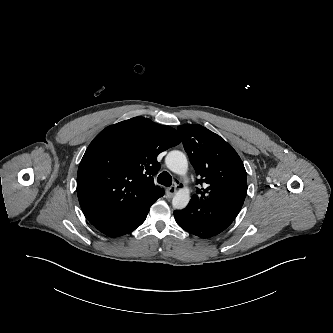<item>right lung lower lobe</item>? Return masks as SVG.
I'll use <instances>...</instances> for the list:
<instances>
[{"instance_id": "1", "label": "right lung lower lobe", "mask_w": 333, "mask_h": 333, "mask_svg": "<svg viewBox=\"0 0 333 333\" xmlns=\"http://www.w3.org/2000/svg\"><path fill=\"white\" fill-rule=\"evenodd\" d=\"M148 212L149 209H146L127 218L98 222L93 225L105 235L118 237L127 234L140 226L145 221Z\"/></svg>"}]
</instances>
